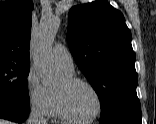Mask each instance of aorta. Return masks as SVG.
<instances>
[{"mask_svg": "<svg viewBox=\"0 0 156 124\" xmlns=\"http://www.w3.org/2000/svg\"><path fill=\"white\" fill-rule=\"evenodd\" d=\"M58 27V18L43 19L32 45L33 63L44 85L53 83L61 75V70L54 64L52 56V43Z\"/></svg>", "mask_w": 156, "mask_h": 124, "instance_id": "762f6f07", "label": "aorta"}]
</instances>
